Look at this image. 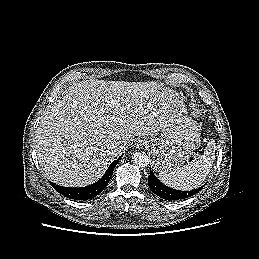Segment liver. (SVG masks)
<instances>
[{"label": "liver", "instance_id": "obj_1", "mask_svg": "<svg viewBox=\"0 0 259 259\" xmlns=\"http://www.w3.org/2000/svg\"><path fill=\"white\" fill-rule=\"evenodd\" d=\"M157 82L85 80L48 108L36 130L42 172L52 182L82 187L99 180L135 136H155L164 123ZM118 142L123 150H114Z\"/></svg>", "mask_w": 259, "mask_h": 259}]
</instances>
